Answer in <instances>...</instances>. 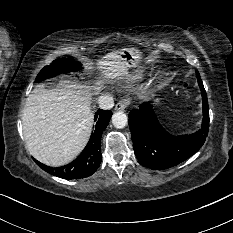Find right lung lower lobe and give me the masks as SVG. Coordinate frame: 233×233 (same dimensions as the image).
I'll return each mask as SVG.
<instances>
[{
  "instance_id": "1",
  "label": "right lung lower lobe",
  "mask_w": 233,
  "mask_h": 233,
  "mask_svg": "<svg viewBox=\"0 0 233 233\" xmlns=\"http://www.w3.org/2000/svg\"><path fill=\"white\" fill-rule=\"evenodd\" d=\"M112 116V112L110 110L105 111L99 109L95 114V131L91 135V138L82 151V153L70 164L65 165L59 168H52L46 166L37 160L34 161L40 166L43 170L48 173L60 176L65 179H79L91 176L101 163V136L105 128L107 127L110 118Z\"/></svg>"
}]
</instances>
